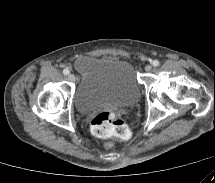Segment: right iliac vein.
I'll list each match as a JSON object with an SVG mask.
<instances>
[{
	"instance_id": "obj_1",
	"label": "right iliac vein",
	"mask_w": 215,
	"mask_h": 183,
	"mask_svg": "<svg viewBox=\"0 0 215 183\" xmlns=\"http://www.w3.org/2000/svg\"><path fill=\"white\" fill-rule=\"evenodd\" d=\"M68 80L71 81V82L75 81V76H74V74H69V75H68Z\"/></svg>"
}]
</instances>
